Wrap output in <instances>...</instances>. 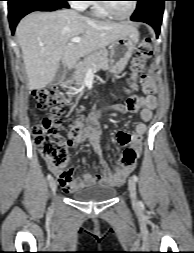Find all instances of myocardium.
<instances>
[{
    "mask_svg": "<svg viewBox=\"0 0 194 253\" xmlns=\"http://www.w3.org/2000/svg\"><path fill=\"white\" fill-rule=\"evenodd\" d=\"M98 5L109 17H112V18H114L116 20H126V19H129L135 13V11L137 9V1L136 0L132 1L131 10L126 15H117V14H115L110 9V7L107 5V3L100 2Z\"/></svg>",
    "mask_w": 194,
    "mask_h": 253,
    "instance_id": "myocardium-1",
    "label": "myocardium"
}]
</instances>
